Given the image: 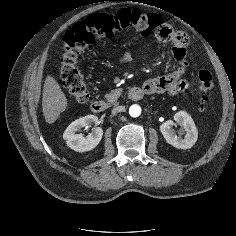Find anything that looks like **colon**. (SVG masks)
<instances>
[{
    "instance_id": "5ec220e1",
    "label": "colon",
    "mask_w": 236,
    "mask_h": 236,
    "mask_svg": "<svg viewBox=\"0 0 236 236\" xmlns=\"http://www.w3.org/2000/svg\"><path fill=\"white\" fill-rule=\"evenodd\" d=\"M133 28L138 36L145 38L154 34L163 42H178L182 35L163 21L157 14L124 9L115 14H95L76 23L65 35L63 54L60 60L63 85L78 103L90 100L87 82L78 66L80 55L101 38H111L116 32ZM200 99L204 105L206 93L213 88V77L209 70L198 73Z\"/></svg>"
}]
</instances>
